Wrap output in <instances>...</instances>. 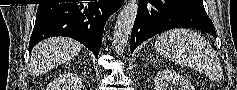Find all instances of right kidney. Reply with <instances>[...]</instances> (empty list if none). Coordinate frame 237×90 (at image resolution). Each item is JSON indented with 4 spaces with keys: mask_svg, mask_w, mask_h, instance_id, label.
<instances>
[{
    "mask_svg": "<svg viewBox=\"0 0 237 90\" xmlns=\"http://www.w3.org/2000/svg\"><path fill=\"white\" fill-rule=\"evenodd\" d=\"M72 82H74V84H76V86H78V84H80V78H78V76H75L74 80H72ZM58 86H60V84H58ZM50 88V86H49ZM52 88H57V86H55V84H53Z\"/></svg>",
    "mask_w": 237,
    "mask_h": 90,
    "instance_id": "ca27d5eb",
    "label": "right kidney"
}]
</instances>
